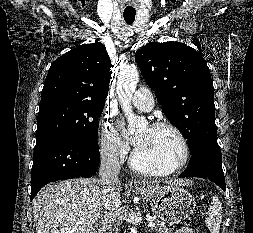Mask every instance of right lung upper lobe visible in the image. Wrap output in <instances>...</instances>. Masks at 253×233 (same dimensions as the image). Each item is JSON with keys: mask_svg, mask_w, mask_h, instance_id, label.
Wrapping results in <instances>:
<instances>
[{"mask_svg": "<svg viewBox=\"0 0 253 233\" xmlns=\"http://www.w3.org/2000/svg\"><path fill=\"white\" fill-rule=\"evenodd\" d=\"M112 67L106 48L100 42L72 49L52 63L41 103L49 100L105 103Z\"/></svg>", "mask_w": 253, "mask_h": 233, "instance_id": "cb5924a9", "label": "right lung upper lobe"}]
</instances>
